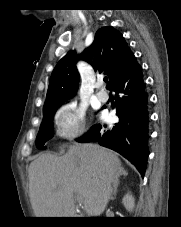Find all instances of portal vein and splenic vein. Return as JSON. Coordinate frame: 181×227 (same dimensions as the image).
I'll list each match as a JSON object with an SVG mask.
<instances>
[{"label":"portal vein and splenic vein","mask_w":181,"mask_h":227,"mask_svg":"<svg viewBox=\"0 0 181 227\" xmlns=\"http://www.w3.org/2000/svg\"><path fill=\"white\" fill-rule=\"evenodd\" d=\"M79 202L81 203V202H82V200H81V199H79Z\"/></svg>","instance_id":"obj_1"}]
</instances>
